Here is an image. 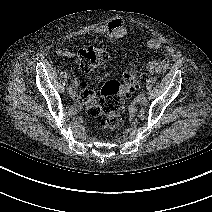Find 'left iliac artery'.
<instances>
[{"instance_id":"left-iliac-artery-1","label":"left iliac artery","mask_w":212,"mask_h":212,"mask_svg":"<svg viewBox=\"0 0 212 212\" xmlns=\"http://www.w3.org/2000/svg\"><path fill=\"white\" fill-rule=\"evenodd\" d=\"M148 104H149L148 99L143 97V106H147Z\"/></svg>"}]
</instances>
